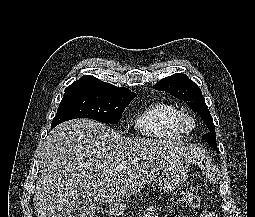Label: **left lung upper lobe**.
<instances>
[{
	"mask_svg": "<svg viewBox=\"0 0 255 217\" xmlns=\"http://www.w3.org/2000/svg\"><path fill=\"white\" fill-rule=\"evenodd\" d=\"M154 89L165 91L180 100L187 102V105L196 111L207 125L209 132L202 138L216 151V133L212 116L204 101L202 92L198 85L191 81L185 74L176 73L169 77L163 78L153 86Z\"/></svg>",
	"mask_w": 255,
	"mask_h": 217,
	"instance_id": "5c2ea615",
	"label": "left lung upper lobe"
}]
</instances>
